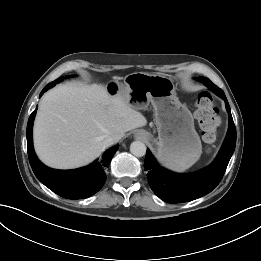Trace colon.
Segmentation results:
<instances>
[{"instance_id":"5ec220e1","label":"colon","mask_w":261,"mask_h":261,"mask_svg":"<svg viewBox=\"0 0 261 261\" xmlns=\"http://www.w3.org/2000/svg\"><path fill=\"white\" fill-rule=\"evenodd\" d=\"M195 118L203 140L206 143H212L217 138L220 118L218 109L210 94L202 92L195 101Z\"/></svg>"}]
</instances>
